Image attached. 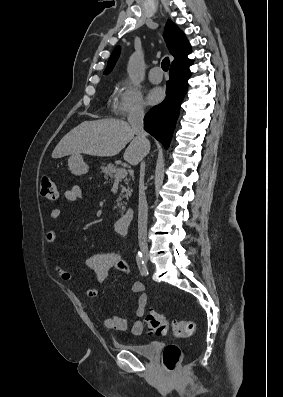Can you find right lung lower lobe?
<instances>
[{"mask_svg": "<svg viewBox=\"0 0 283 397\" xmlns=\"http://www.w3.org/2000/svg\"><path fill=\"white\" fill-rule=\"evenodd\" d=\"M192 61L182 62L170 67L167 81V96L144 117L145 130L168 147L178 118L180 103L186 93L189 66Z\"/></svg>", "mask_w": 283, "mask_h": 397, "instance_id": "98d812e1", "label": "right lung lower lobe"}]
</instances>
